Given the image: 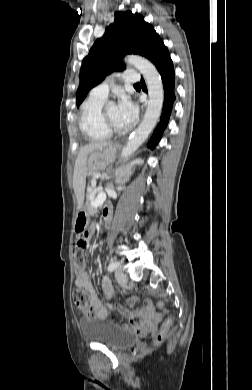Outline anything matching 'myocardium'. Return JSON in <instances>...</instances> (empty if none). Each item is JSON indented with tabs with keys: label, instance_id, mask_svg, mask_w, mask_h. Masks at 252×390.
<instances>
[{
	"label": "myocardium",
	"instance_id": "1",
	"mask_svg": "<svg viewBox=\"0 0 252 390\" xmlns=\"http://www.w3.org/2000/svg\"><path fill=\"white\" fill-rule=\"evenodd\" d=\"M106 107L107 106H104L102 107L101 109V113H100V118H101V122H102V125L104 126V128L110 132L111 134H120V133H123L125 131V128H117L116 126H114L107 118V115H106Z\"/></svg>",
	"mask_w": 252,
	"mask_h": 390
}]
</instances>
